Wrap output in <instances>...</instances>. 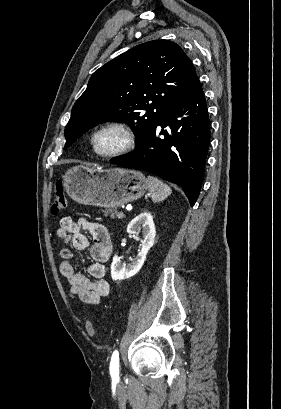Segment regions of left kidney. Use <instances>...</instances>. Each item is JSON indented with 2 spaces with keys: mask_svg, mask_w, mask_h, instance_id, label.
<instances>
[{
  "mask_svg": "<svg viewBox=\"0 0 281 409\" xmlns=\"http://www.w3.org/2000/svg\"><path fill=\"white\" fill-rule=\"evenodd\" d=\"M141 229V231H140ZM127 233L129 235H139L142 233L141 239V251L138 253L136 259L132 263H122L121 259L115 255L111 263V277L113 281H123V279H130L136 273H139L142 265L146 261V255L153 247L156 237V229L153 221V217L149 211H143L138 217L132 219L127 227Z\"/></svg>",
  "mask_w": 281,
  "mask_h": 409,
  "instance_id": "obj_1",
  "label": "left kidney"
}]
</instances>
